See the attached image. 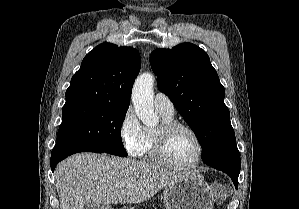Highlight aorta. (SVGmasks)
Wrapping results in <instances>:
<instances>
[{
	"mask_svg": "<svg viewBox=\"0 0 299 209\" xmlns=\"http://www.w3.org/2000/svg\"><path fill=\"white\" fill-rule=\"evenodd\" d=\"M154 77L150 73H143L135 80L131 100L139 120L146 126L158 124V116L154 112Z\"/></svg>",
	"mask_w": 299,
	"mask_h": 209,
	"instance_id": "obj_1",
	"label": "aorta"
}]
</instances>
